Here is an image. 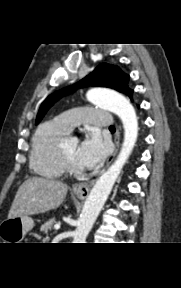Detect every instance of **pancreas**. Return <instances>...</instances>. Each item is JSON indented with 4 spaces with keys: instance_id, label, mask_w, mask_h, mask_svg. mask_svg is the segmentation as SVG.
<instances>
[{
    "instance_id": "pancreas-1",
    "label": "pancreas",
    "mask_w": 181,
    "mask_h": 288,
    "mask_svg": "<svg viewBox=\"0 0 181 288\" xmlns=\"http://www.w3.org/2000/svg\"><path fill=\"white\" fill-rule=\"evenodd\" d=\"M57 222L55 221L54 218L52 219H49L48 221H46L42 226H41V232H44V233H48L49 230H51L52 226L54 224H56Z\"/></svg>"
}]
</instances>
